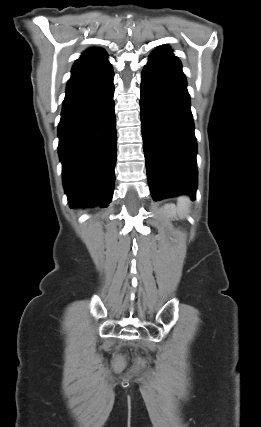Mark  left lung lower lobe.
Returning <instances> with one entry per match:
<instances>
[{
  "label": "left lung lower lobe",
  "mask_w": 261,
  "mask_h": 427,
  "mask_svg": "<svg viewBox=\"0 0 261 427\" xmlns=\"http://www.w3.org/2000/svg\"><path fill=\"white\" fill-rule=\"evenodd\" d=\"M141 122L150 192L155 201L196 199L197 143L181 63L167 48L150 55L141 76Z\"/></svg>",
  "instance_id": "1"
}]
</instances>
